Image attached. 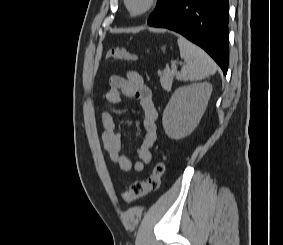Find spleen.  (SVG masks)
<instances>
[{
	"instance_id": "obj_1",
	"label": "spleen",
	"mask_w": 283,
	"mask_h": 245,
	"mask_svg": "<svg viewBox=\"0 0 283 245\" xmlns=\"http://www.w3.org/2000/svg\"><path fill=\"white\" fill-rule=\"evenodd\" d=\"M177 42L180 56L184 59L180 80L198 81L216 73L217 65L204 50L182 36Z\"/></svg>"
}]
</instances>
